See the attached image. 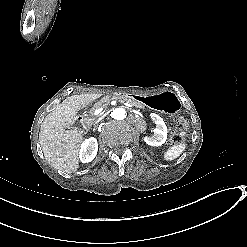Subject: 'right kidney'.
I'll return each mask as SVG.
<instances>
[{
	"label": "right kidney",
	"mask_w": 247,
	"mask_h": 247,
	"mask_svg": "<svg viewBox=\"0 0 247 247\" xmlns=\"http://www.w3.org/2000/svg\"><path fill=\"white\" fill-rule=\"evenodd\" d=\"M98 152V143L94 137L88 138L82 145L80 151V160L83 163H89L93 161Z\"/></svg>",
	"instance_id": "obj_1"
}]
</instances>
